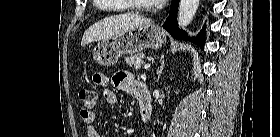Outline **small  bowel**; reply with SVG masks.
Segmentation results:
<instances>
[{
    "label": "small bowel",
    "instance_id": "1",
    "mask_svg": "<svg viewBox=\"0 0 280 137\" xmlns=\"http://www.w3.org/2000/svg\"><path fill=\"white\" fill-rule=\"evenodd\" d=\"M93 80L98 86L106 88L103 92L104 100L107 105L111 107H115L117 105L118 96L114 91L107 88L110 84L120 91L133 94L137 97V89L140 83L136 81L127 71H116L112 77L105 73L98 72L94 75ZM80 116L85 124L86 136L100 137L94 126L96 118L95 113L88 109H82L80 111Z\"/></svg>",
    "mask_w": 280,
    "mask_h": 137
}]
</instances>
